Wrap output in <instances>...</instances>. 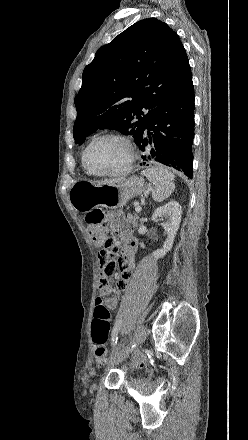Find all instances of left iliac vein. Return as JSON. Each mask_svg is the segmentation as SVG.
<instances>
[{
	"mask_svg": "<svg viewBox=\"0 0 248 440\" xmlns=\"http://www.w3.org/2000/svg\"><path fill=\"white\" fill-rule=\"evenodd\" d=\"M147 338V328L145 325H140L137 328L136 331V346L138 347L139 345H141ZM133 351V349L131 347H127L125 349H123L120 352L115 353L114 355L111 356L110 361H109V365H114L117 364L121 361H123L126 357L129 356V354Z\"/></svg>",
	"mask_w": 248,
	"mask_h": 440,
	"instance_id": "left-iliac-vein-1",
	"label": "left iliac vein"
}]
</instances>
